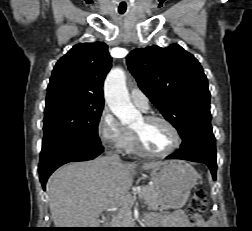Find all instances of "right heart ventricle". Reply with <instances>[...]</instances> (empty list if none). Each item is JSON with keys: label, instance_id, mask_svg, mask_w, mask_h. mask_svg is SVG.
Wrapping results in <instances>:
<instances>
[{"label": "right heart ventricle", "instance_id": "e07e8e85", "mask_svg": "<svg viewBox=\"0 0 252 231\" xmlns=\"http://www.w3.org/2000/svg\"><path fill=\"white\" fill-rule=\"evenodd\" d=\"M127 152L129 153H137V150L134 147L133 140H132V135L130 134L128 142L124 148Z\"/></svg>", "mask_w": 252, "mask_h": 231}]
</instances>
